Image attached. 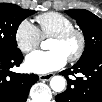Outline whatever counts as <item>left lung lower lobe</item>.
Listing matches in <instances>:
<instances>
[{
	"label": "left lung lower lobe",
	"mask_w": 102,
	"mask_h": 102,
	"mask_svg": "<svg viewBox=\"0 0 102 102\" xmlns=\"http://www.w3.org/2000/svg\"><path fill=\"white\" fill-rule=\"evenodd\" d=\"M83 74L76 80L69 75ZM66 77V91L56 96L57 102H102V56L79 60L72 68L59 73Z\"/></svg>",
	"instance_id": "obj_1"
}]
</instances>
